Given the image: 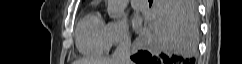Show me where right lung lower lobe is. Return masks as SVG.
Here are the masks:
<instances>
[{
	"mask_svg": "<svg viewBox=\"0 0 242 64\" xmlns=\"http://www.w3.org/2000/svg\"><path fill=\"white\" fill-rule=\"evenodd\" d=\"M155 15L159 49L139 51L131 59L137 64H192L198 40L195 0H157Z\"/></svg>",
	"mask_w": 242,
	"mask_h": 64,
	"instance_id": "obj_1",
	"label": "right lung lower lobe"
}]
</instances>
